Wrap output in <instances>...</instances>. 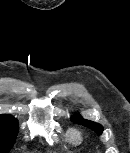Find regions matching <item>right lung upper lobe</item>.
I'll return each instance as SVG.
<instances>
[{"mask_svg":"<svg viewBox=\"0 0 130 153\" xmlns=\"http://www.w3.org/2000/svg\"><path fill=\"white\" fill-rule=\"evenodd\" d=\"M2 115H6V114H2ZM6 116H10V115H6Z\"/></svg>","mask_w":130,"mask_h":153,"instance_id":"cb5924a9","label":"right lung upper lobe"}]
</instances>
